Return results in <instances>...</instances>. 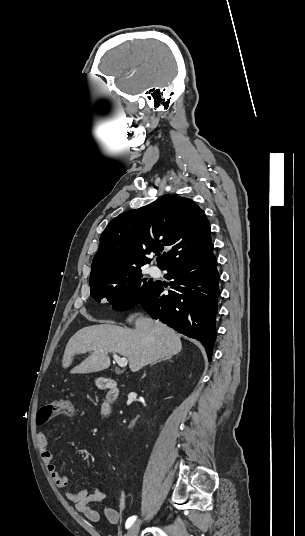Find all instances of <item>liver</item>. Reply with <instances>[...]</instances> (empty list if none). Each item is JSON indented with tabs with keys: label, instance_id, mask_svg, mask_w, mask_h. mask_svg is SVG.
<instances>
[{
	"label": "liver",
	"instance_id": "1",
	"mask_svg": "<svg viewBox=\"0 0 305 536\" xmlns=\"http://www.w3.org/2000/svg\"><path fill=\"white\" fill-rule=\"evenodd\" d=\"M128 322H134L135 330L112 326L114 322H105L100 326H88L76 332L65 348L63 368H69L74 356L90 352V356L73 368L70 374L101 372L109 368L111 360L108 354L114 352L128 358L131 372H138L148 364H154L161 358H171L181 352L180 336L159 320L144 316L137 318L136 314L131 316Z\"/></svg>",
	"mask_w": 305,
	"mask_h": 536
}]
</instances>
